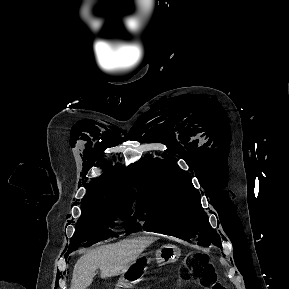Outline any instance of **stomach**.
I'll list each match as a JSON object with an SVG mask.
<instances>
[{
	"mask_svg": "<svg viewBox=\"0 0 289 289\" xmlns=\"http://www.w3.org/2000/svg\"><path fill=\"white\" fill-rule=\"evenodd\" d=\"M181 254L180 249L172 244H166L161 246L156 251V261L159 264H166L175 262ZM147 254L139 255L137 260L131 265L126 272L122 273L120 280L118 281L117 289H128L131 288L148 270L147 264L149 259L144 261Z\"/></svg>",
	"mask_w": 289,
	"mask_h": 289,
	"instance_id": "0dacf381",
	"label": "stomach"
}]
</instances>
